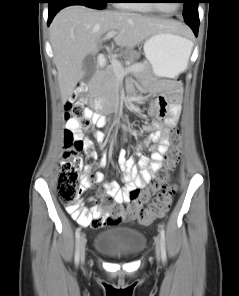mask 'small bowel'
I'll list each match as a JSON object with an SVG mask.
<instances>
[{
  "mask_svg": "<svg viewBox=\"0 0 239 296\" xmlns=\"http://www.w3.org/2000/svg\"><path fill=\"white\" fill-rule=\"evenodd\" d=\"M171 96L170 104L167 105V100L164 96L159 97L151 105L149 109V115L154 116L156 119L143 126V130L149 132V138L146 143H158L157 146L151 148V156H138L137 158H126L125 151H120L118 155V164L120 170L123 172V179L125 181V187L121 188L116 181L105 183V189L109 196L121 204L129 202L133 199L134 193L141 188L147 186L153 175L163 168L164 156L169 150V135L171 131L177 126L181 106H180V85L178 82L170 85ZM86 116L95 123L99 120L100 116L93 113L90 110L86 111ZM68 128L74 132L76 136L82 137L77 123L75 121L68 122ZM93 136L97 140H102L103 135L98 130H93ZM85 145H92L91 140L84 139ZM101 163H95L88 168V170H95L97 175V181L102 182L104 180V174L99 171ZM82 191L89 189L92 183L87 176L82 178ZM71 214V212L67 209ZM90 216L88 221L77 220L83 226H90L92 228H100L106 224V213H102L99 208L93 206L87 212ZM73 217V215L71 214ZM74 218V217H73ZM125 219H132L131 215H125ZM75 219V218H74Z\"/></svg>",
  "mask_w": 239,
  "mask_h": 296,
  "instance_id": "small-bowel-1",
  "label": "small bowel"
}]
</instances>
